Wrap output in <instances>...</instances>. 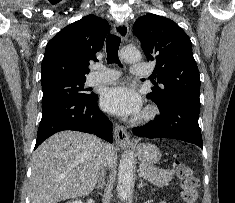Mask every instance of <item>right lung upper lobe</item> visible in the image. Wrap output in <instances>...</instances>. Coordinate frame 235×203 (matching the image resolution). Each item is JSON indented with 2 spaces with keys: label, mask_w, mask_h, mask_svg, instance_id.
<instances>
[{
  "label": "right lung upper lobe",
  "mask_w": 235,
  "mask_h": 203,
  "mask_svg": "<svg viewBox=\"0 0 235 203\" xmlns=\"http://www.w3.org/2000/svg\"><path fill=\"white\" fill-rule=\"evenodd\" d=\"M109 24L88 15L66 26L47 44L41 68V84L86 80L90 60L103 47Z\"/></svg>",
  "instance_id": "obj_1"
}]
</instances>
